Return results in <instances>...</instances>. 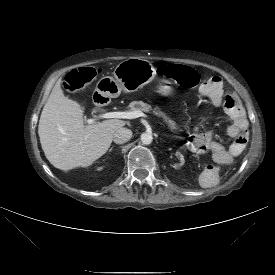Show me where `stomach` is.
Segmentation results:
<instances>
[{
	"label": "stomach",
	"mask_w": 275,
	"mask_h": 275,
	"mask_svg": "<svg viewBox=\"0 0 275 275\" xmlns=\"http://www.w3.org/2000/svg\"><path fill=\"white\" fill-rule=\"evenodd\" d=\"M155 77V69L152 64L144 59L130 58L119 63L113 72V76L102 77L95 90H100L109 98L118 96L122 90L134 92L150 83ZM171 82L164 80L157 90L162 96L172 93Z\"/></svg>",
	"instance_id": "1"
}]
</instances>
